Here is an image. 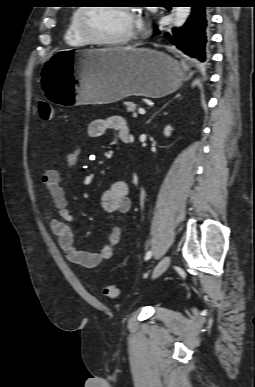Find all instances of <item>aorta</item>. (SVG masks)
<instances>
[{"mask_svg":"<svg viewBox=\"0 0 255 387\" xmlns=\"http://www.w3.org/2000/svg\"><path fill=\"white\" fill-rule=\"evenodd\" d=\"M191 13V7H176L174 26L181 27L187 20Z\"/></svg>","mask_w":255,"mask_h":387,"instance_id":"1","label":"aorta"}]
</instances>
